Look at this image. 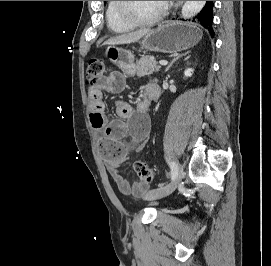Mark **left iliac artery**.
<instances>
[{"label":"left iliac artery","instance_id":"1","mask_svg":"<svg viewBox=\"0 0 271 266\" xmlns=\"http://www.w3.org/2000/svg\"><path fill=\"white\" fill-rule=\"evenodd\" d=\"M168 161V164L171 168V177H172V180L176 177L177 175V168H176V163L171 161L170 159H167Z\"/></svg>","mask_w":271,"mask_h":266}]
</instances>
